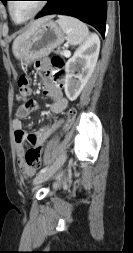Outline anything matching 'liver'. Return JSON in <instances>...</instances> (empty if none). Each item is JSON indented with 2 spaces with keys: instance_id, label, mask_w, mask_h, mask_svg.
<instances>
[{
  "instance_id": "6515ba94",
  "label": "liver",
  "mask_w": 133,
  "mask_h": 253,
  "mask_svg": "<svg viewBox=\"0 0 133 253\" xmlns=\"http://www.w3.org/2000/svg\"><path fill=\"white\" fill-rule=\"evenodd\" d=\"M53 16H46V17H43V18H40L36 21H33L30 26L28 27V29L20 34L13 42V45H12V50H13V54L18 57V50H19V47L21 46V44L26 40L28 39L37 29L38 27L49 21Z\"/></svg>"
}]
</instances>
